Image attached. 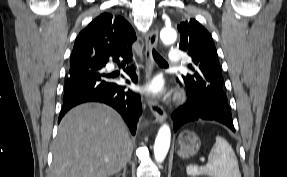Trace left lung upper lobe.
<instances>
[{
    "label": "left lung upper lobe",
    "instance_id": "5c2ea615",
    "mask_svg": "<svg viewBox=\"0 0 287 177\" xmlns=\"http://www.w3.org/2000/svg\"><path fill=\"white\" fill-rule=\"evenodd\" d=\"M178 30L181 33L179 49L186 52L193 61L188 65L193 73L182 76L185 85L191 86L202 96H210L212 89L223 91L221 67L209 32L195 19L182 21Z\"/></svg>",
    "mask_w": 287,
    "mask_h": 177
}]
</instances>
